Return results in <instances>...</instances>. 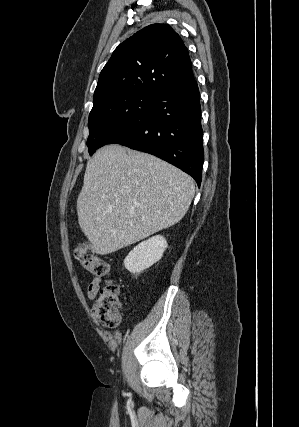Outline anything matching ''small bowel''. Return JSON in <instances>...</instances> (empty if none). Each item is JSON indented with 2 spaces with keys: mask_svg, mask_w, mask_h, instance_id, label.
<instances>
[{
  "mask_svg": "<svg viewBox=\"0 0 299 427\" xmlns=\"http://www.w3.org/2000/svg\"><path fill=\"white\" fill-rule=\"evenodd\" d=\"M100 282H101L100 277H94L88 284L87 295L89 299L93 300L97 297L100 289Z\"/></svg>",
  "mask_w": 299,
  "mask_h": 427,
  "instance_id": "c3829d8e",
  "label": "small bowel"
}]
</instances>
